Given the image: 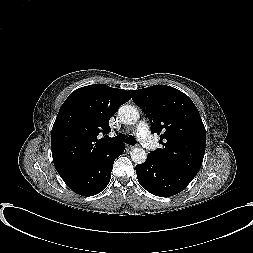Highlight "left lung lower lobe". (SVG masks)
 I'll return each instance as SVG.
<instances>
[{
	"instance_id": "0a47b994",
	"label": "left lung lower lobe",
	"mask_w": 253,
	"mask_h": 253,
	"mask_svg": "<svg viewBox=\"0 0 253 253\" xmlns=\"http://www.w3.org/2000/svg\"><path fill=\"white\" fill-rule=\"evenodd\" d=\"M136 173L141 186L160 197L183 191L194 178L159 162L150 154L143 164L136 166Z\"/></svg>"
}]
</instances>
